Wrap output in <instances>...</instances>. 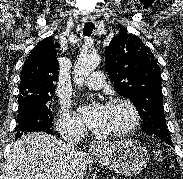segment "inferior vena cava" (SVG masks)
Returning <instances> with one entry per match:
<instances>
[{"mask_svg":"<svg viewBox=\"0 0 183 179\" xmlns=\"http://www.w3.org/2000/svg\"><path fill=\"white\" fill-rule=\"evenodd\" d=\"M63 139L66 142V148L70 158V166L72 169V179H83L80 174L79 166V152L76 149V145L84 137L83 129H69L62 134Z\"/></svg>","mask_w":183,"mask_h":179,"instance_id":"inferior-vena-cava-1","label":"inferior vena cava"}]
</instances>
